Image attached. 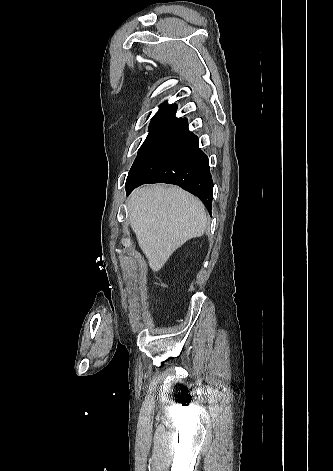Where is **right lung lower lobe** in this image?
Wrapping results in <instances>:
<instances>
[{"mask_svg": "<svg viewBox=\"0 0 333 471\" xmlns=\"http://www.w3.org/2000/svg\"><path fill=\"white\" fill-rule=\"evenodd\" d=\"M175 184L197 196L211 213L213 182L209 161L188 130L187 119L177 121L160 134L134 161L126 193L145 183Z\"/></svg>", "mask_w": 333, "mask_h": 471, "instance_id": "obj_1", "label": "right lung lower lobe"}]
</instances>
